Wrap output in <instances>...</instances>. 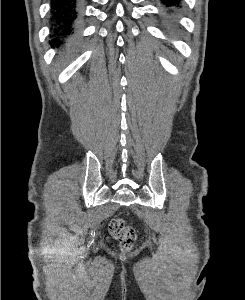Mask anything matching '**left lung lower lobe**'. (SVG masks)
<instances>
[{
  "label": "left lung lower lobe",
  "mask_w": 245,
  "mask_h": 300,
  "mask_svg": "<svg viewBox=\"0 0 245 300\" xmlns=\"http://www.w3.org/2000/svg\"><path fill=\"white\" fill-rule=\"evenodd\" d=\"M164 4H166V7L169 9V12H173L176 10L181 3V0H162Z\"/></svg>",
  "instance_id": "1"
}]
</instances>
